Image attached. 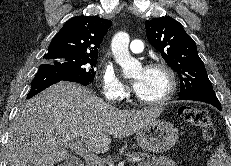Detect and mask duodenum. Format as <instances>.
I'll list each match as a JSON object with an SVG mask.
<instances>
[{"instance_id":"duodenum-1","label":"duodenum","mask_w":231,"mask_h":166,"mask_svg":"<svg viewBox=\"0 0 231 166\" xmlns=\"http://www.w3.org/2000/svg\"><path fill=\"white\" fill-rule=\"evenodd\" d=\"M65 166H83V164L78 159H72Z\"/></svg>"}]
</instances>
